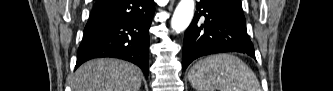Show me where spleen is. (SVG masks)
<instances>
[{
	"instance_id": "3e777b00",
	"label": "spleen",
	"mask_w": 333,
	"mask_h": 91,
	"mask_svg": "<svg viewBox=\"0 0 333 91\" xmlns=\"http://www.w3.org/2000/svg\"><path fill=\"white\" fill-rule=\"evenodd\" d=\"M196 91H261L251 68L233 54H216L199 60L188 72Z\"/></svg>"
}]
</instances>
